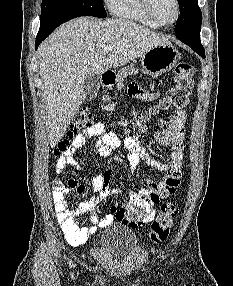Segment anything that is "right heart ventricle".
<instances>
[{
	"label": "right heart ventricle",
	"mask_w": 233,
	"mask_h": 286,
	"mask_svg": "<svg viewBox=\"0 0 233 286\" xmlns=\"http://www.w3.org/2000/svg\"><path fill=\"white\" fill-rule=\"evenodd\" d=\"M106 3L110 13L118 18L135 21L151 28L157 27L145 13L142 0H106Z\"/></svg>",
	"instance_id": "right-heart-ventricle-1"
}]
</instances>
